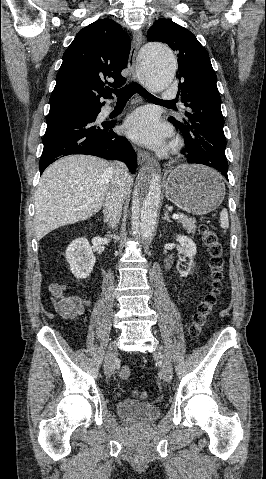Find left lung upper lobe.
<instances>
[{
  "mask_svg": "<svg viewBox=\"0 0 266 479\" xmlns=\"http://www.w3.org/2000/svg\"><path fill=\"white\" fill-rule=\"evenodd\" d=\"M147 40L166 43L177 54L178 93L190 110L182 120H169L184 135L190 158L209 166L217 161L227 163L221 97L207 50L192 32L170 19L157 20L148 30Z\"/></svg>",
  "mask_w": 266,
  "mask_h": 479,
  "instance_id": "1",
  "label": "left lung upper lobe"
}]
</instances>
